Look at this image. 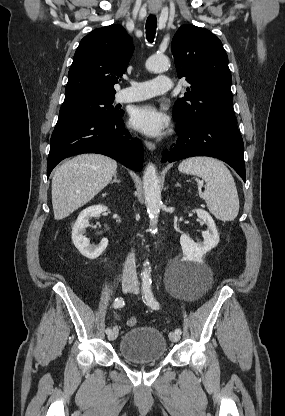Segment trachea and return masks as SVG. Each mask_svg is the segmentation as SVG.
I'll return each mask as SVG.
<instances>
[{
    "instance_id": "obj_1",
    "label": "trachea",
    "mask_w": 285,
    "mask_h": 416,
    "mask_svg": "<svg viewBox=\"0 0 285 416\" xmlns=\"http://www.w3.org/2000/svg\"><path fill=\"white\" fill-rule=\"evenodd\" d=\"M157 18L155 15H149L146 20V38L148 42H153L156 34Z\"/></svg>"
}]
</instances>
